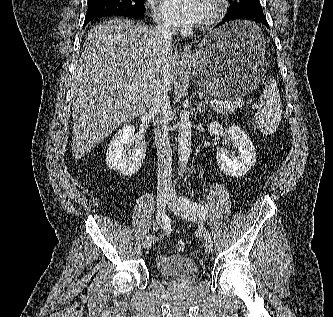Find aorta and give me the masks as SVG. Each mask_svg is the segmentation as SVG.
Wrapping results in <instances>:
<instances>
[{"label":"aorta","instance_id":"aorta-1","mask_svg":"<svg viewBox=\"0 0 333 317\" xmlns=\"http://www.w3.org/2000/svg\"><path fill=\"white\" fill-rule=\"evenodd\" d=\"M178 130V162L180 170L183 171L186 168V164L190 158L191 153V128L192 123L189 117L188 111H182L180 113Z\"/></svg>","mask_w":333,"mask_h":317}]
</instances>
